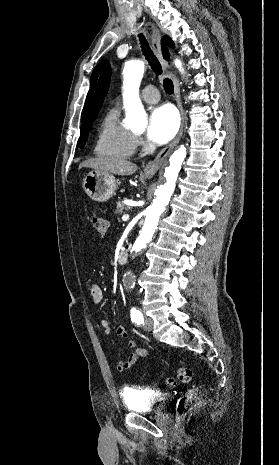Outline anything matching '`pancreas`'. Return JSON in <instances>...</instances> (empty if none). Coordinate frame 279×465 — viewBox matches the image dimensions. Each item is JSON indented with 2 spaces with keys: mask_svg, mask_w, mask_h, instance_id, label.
Returning a JSON list of instances; mask_svg holds the SVG:
<instances>
[{
  "mask_svg": "<svg viewBox=\"0 0 279 465\" xmlns=\"http://www.w3.org/2000/svg\"><path fill=\"white\" fill-rule=\"evenodd\" d=\"M124 210H128V206L118 202L115 210V214H121Z\"/></svg>",
  "mask_w": 279,
  "mask_h": 465,
  "instance_id": "pancreas-1",
  "label": "pancreas"
}]
</instances>
